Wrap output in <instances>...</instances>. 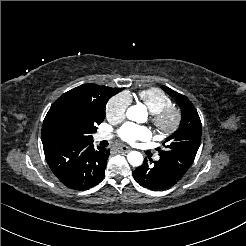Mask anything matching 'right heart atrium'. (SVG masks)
I'll use <instances>...</instances> for the list:
<instances>
[{
	"mask_svg": "<svg viewBox=\"0 0 246 246\" xmlns=\"http://www.w3.org/2000/svg\"><path fill=\"white\" fill-rule=\"evenodd\" d=\"M131 99L126 92L113 96L106 104V117L111 122L122 120L130 106Z\"/></svg>",
	"mask_w": 246,
	"mask_h": 246,
	"instance_id": "obj_1",
	"label": "right heart atrium"
}]
</instances>
